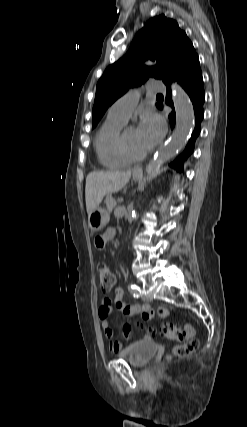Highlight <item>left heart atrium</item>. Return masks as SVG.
I'll return each mask as SVG.
<instances>
[{
    "instance_id": "1",
    "label": "left heart atrium",
    "mask_w": 247,
    "mask_h": 427,
    "mask_svg": "<svg viewBox=\"0 0 247 427\" xmlns=\"http://www.w3.org/2000/svg\"><path fill=\"white\" fill-rule=\"evenodd\" d=\"M137 130L142 143L149 149L163 138L166 124L164 119L157 113L147 112L143 115Z\"/></svg>"
}]
</instances>
